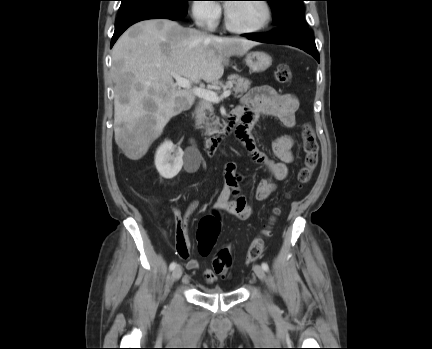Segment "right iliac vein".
<instances>
[{"label":"right iliac vein","instance_id":"1","mask_svg":"<svg viewBox=\"0 0 432 349\" xmlns=\"http://www.w3.org/2000/svg\"><path fill=\"white\" fill-rule=\"evenodd\" d=\"M181 276H182V268L180 266H177L172 272V278L174 281H177L181 278Z\"/></svg>","mask_w":432,"mask_h":349}]
</instances>
